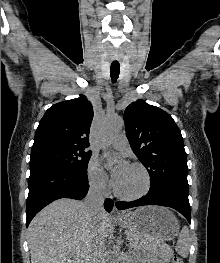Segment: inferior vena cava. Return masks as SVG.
I'll return each instance as SVG.
<instances>
[{"label":"inferior vena cava","instance_id":"inferior-vena-cava-1","mask_svg":"<svg viewBox=\"0 0 220 263\" xmlns=\"http://www.w3.org/2000/svg\"><path fill=\"white\" fill-rule=\"evenodd\" d=\"M104 193L101 182H92L84 204L87 214L92 218H98L104 212ZM105 240L97 239L93 252L91 254L90 263H105Z\"/></svg>","mask_w":220,"mask_h":263}]
</instances>
